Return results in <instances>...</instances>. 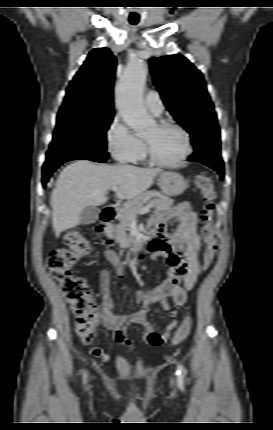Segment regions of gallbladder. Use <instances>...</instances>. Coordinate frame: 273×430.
I'll return each mask as SVG.
<instances>
[{"mask_svg":"<svg viewBox=\"0 0 273 430\" xmlns=\"http://www.w3.org/2000/svg\"><path fill=\"white\" fill-rule=\"evenodd\" d=\"M100 210L95 206L86 207L81 213V223L82 224H92L96 222L99 218Z\"/></svg>","mask_w":273,"mask_h":430,"instance_id":"1","label":"gallbladder"}]
</instances>
